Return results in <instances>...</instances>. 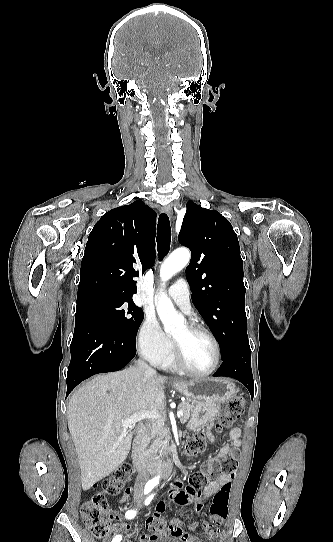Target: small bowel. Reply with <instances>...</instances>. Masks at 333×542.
Returning <instances> with one entry per match:
<instances>
[{"label": "small bowel", "instance_id": "small-bowel-1", "mask_svg": "<svg viewBox=\"0 0 333 542\" xmlns=\"http://www.w3.org/2000/svg\"><path fill=\"white\" fill-rule=\"evenodd\" d=\"M212 426H213L212 423L207 424L205 428V435L210 442H215L216 438L212 433ZM241 434H242V430L240 427L235 426L231 428V430L229 431V443L221 448L220 454H213L212 460L219 461L220 458H226V457H231L235 455L241 446V439H240ZM235 458L238 460L240 457L237 455ZM207 469L209 471L213 469V464L211 460L207 466ZM230 481L231 479L228 475L220 474L215 480L209 482L204 488V492H203L204 500L209 498L211 495H213L221 486L230 483ZM182 487H183V480L180 478H174L170 480L169 482L167 494H168L169 499L172 502L178 505H187L190 502V498H189L188 493L184 491ZM133 493L134 491L132 488H126L122 497L119 500V504L120 505L125 504L129 500V498L132 497ZM172 524L176 526H180L178 520H173ZM189 528L195 529L196 524L195 523L190 524ZM131 530H132V526L129 524L120 525V531L122 532H130ZM116 533L117 532L113 530L109 534V537L111 539H114L116 537ZM142 541H144V537H142Z\"/></svg>", "mask_w": 333, "mask_h": 542}]
</instances>
